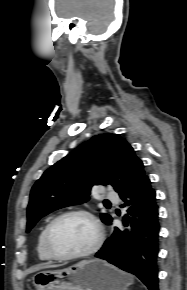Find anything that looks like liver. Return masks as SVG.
Segmentation results:
<instances>
[{
    "label": "liver",
    "instance_id": "6515ba94",
    "mask_svg": "<svg viewBox=\"0 0 187 290\" xmlns=\"http://www.w3.org/2000/svg\"><path fill=\"white\" fill-rule=\"evenodd\" d=\"M58 266H60V265H49V264L38 265V266L31 268L29 272H35V271H38L41 269H46V268H55Z\"/></svg>",
    "mask_w": 187,
    "mask_h": 290
}]
</instances>
